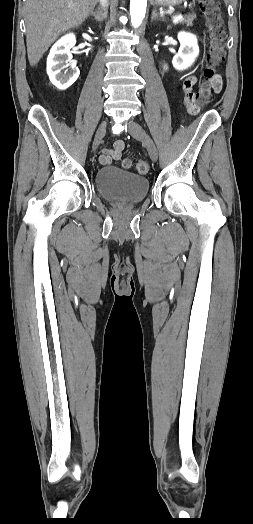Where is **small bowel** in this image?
Masks as SVG:
<instances>
[{"instance_id": "small-bowel-1", "label": "small bowel", "mask_w": 253, "mask_h": 524, "mask_svg": "<svg viewBox=\"0 0 253 524\" xmlns=\"http://www.w3.org/2000/svg\"><path fill=\"white\" fill-rule=\"evenodd\" d=\"M162 69L164 72L169 71V67L166 63L162 64ZM195 83V77L184 78L181 81V95L183 97L185 108L187 109V115L191 118H198L203 111L202 104L198 103L197 90L193 88ZM210 83L216 92L222 90L223 81L220 75H215ZM124 145L125 144L122 140H116L111 148L103 149L99 157L100 163L103 165H109L113 161L120 159Z\"/></svg>"}]
</instances>
